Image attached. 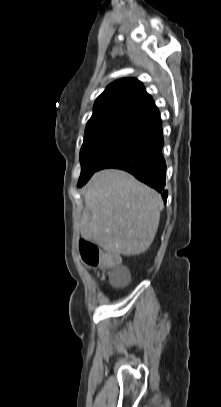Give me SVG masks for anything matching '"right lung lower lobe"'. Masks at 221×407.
Segmentation results:
<instances>
[{
	"label": "right lung lower lobe",
	"mask_w": 221,
	"mask_h": 407,
	"mask_svg": "<svg viewBox=\"0 0 221 407\" xmlns=\"http://www.w3.org/2000/svg\"><path fill=\"white\" fill-rule=\"evenodd\" d=\"M164 145L160 114L145 122L132 133L102 163L101 169L118 168L128 171L137 179L163 192L166 202L168 193L164 190L166 163L162 155Z\"/></svg>",
	"instance_id": "right-lung-lower-lobe-1"
}]
</instances>
